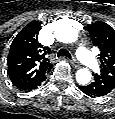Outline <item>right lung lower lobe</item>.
<instances>
[{
    "label": "right lung lower lobe",
    "mask_w": 115,
    "mask_h": 119,
    "mask_svg": "<svg viewBox=\"0 0 115 119\" xmlns=\"http://www.w3.org/2000/svg\"><path fill=\"white\" fill-rule=\"evenodd\" d=\"M45 79H46V77H45L43 80H41V81H39L38 83H36V84H33V85H31V86H29V87H26V88H22V90H24V91H32L33 89H36L38 86H40L41 83H42Z\"/></svg>",
    "instance_id": "1"
}]
</instances>
